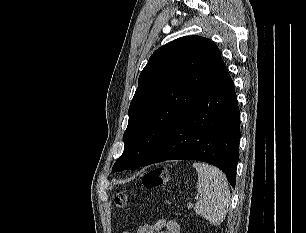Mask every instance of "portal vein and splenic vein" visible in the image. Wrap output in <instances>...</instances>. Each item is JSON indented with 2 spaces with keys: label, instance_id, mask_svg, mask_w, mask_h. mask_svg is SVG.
I'll return each mask as SVG.
<instances>
[{
  "label": "portal vein and splenic vein",
  "instance_id": "1",
  "mask_svg": "<svg viewBox=\"0 0 306 233\" xmlns=\"http://www.w3.org/2000/svg\"><path fill=\"white\" fill-rule=\"evenodd\" d=\"M199 198V196L197 195V196H195V199H198Z\"/></svg>",
  "mask_w": 306,
  "mask_h": 233
}]
</instances>
